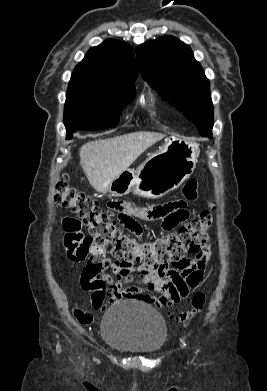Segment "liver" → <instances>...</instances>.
I'll return each instance as SVG.
<instances>
[{"instance_id": "1", "label": "liver", "mask_w": 267, "mask_h": 391, "mask_svg": "<svg viewBox=\"0 0 267 391\" xmlns=\"http://www.w3.org/2000/svg\"><path fill=\"white\" fill-rule=\"evenodd\" d=\"M166 135L134 132L88 142L80 148V165L91 186L106 193L110 183L149 147Z\"/></svg>"}]
</instances>
